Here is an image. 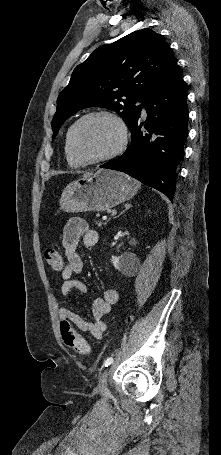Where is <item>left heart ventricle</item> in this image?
<instances>
[{"label": "left heart ventricle", "instance_id": "1", "mask_svg": "<svg viewBox=\"0 0 221 455\" xmlns=\"http://www.w3.org/2000/svg\"><path fill=\"white\" fill-rule=\"evenodd\" d=\"M120 136L116 124L104 117L84 121L77 130L76 144L86 158H96L107 154L119 143Z\"/></svg>", "mask_w": 221, "mask_h": 455}]
</instances>
